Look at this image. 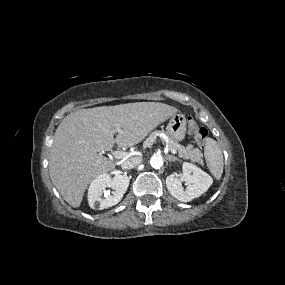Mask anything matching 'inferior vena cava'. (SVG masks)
Masks as SVG:
<instances>
[{
	"label": "inferior vena cava",
	"instance_id": "602c4592",
	"mask_svg": "<svg viewBox=\"0 0 285 285\" xmlns=\"http://www.w3.org/2000/svg\"><path fill=\"white\" fill-rule=\"evenodd\" d=\"M141 163V158L140 157H131L128 160H125L122 163V168L123 169H131Z\"/></svg>",
	"mask_w": 285,
	"mask_h": 285
}]
</instances>
